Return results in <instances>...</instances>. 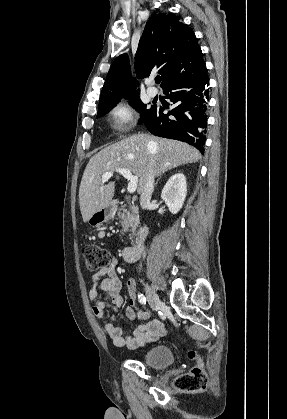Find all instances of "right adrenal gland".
Segmentation results:
<instances>
[{
  "label": "right adrenal gland",
  "instance_id": "right-adrenal-gland-1",
  "mask_svg": "<svg viewBox=\"0 0 287 419\" xmlns=\"http://www.w3.org/2000/svg\"><path fill=\"white\" fill-rule=\"evenodd\" d=\"M165 174V172L163 174H161V176L158 178L157 182H156V186L158 184V181L162 178V176Z\"/></svg>",
  "mask_w": 287,
  "mask_h": 419
}]
</instances>
